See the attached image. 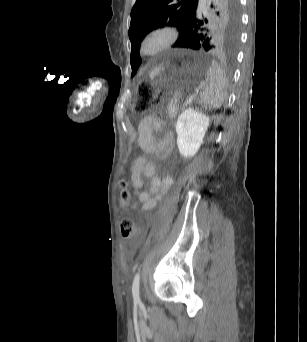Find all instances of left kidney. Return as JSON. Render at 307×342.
<instances>
[{"label":"left kidney","mask_w":307,"mask_h":342,"mask_svg":"<svg viewBox=\"0 0 307 342\" xmlns=\"http://www.w3.org/2000/svg\"><path fill=\"white\" fill-rule=\"evenodd\" d=\"M208 126V116L193 108H187L178 116L175 126L177 146L183 158H193L197 154Z\"/></svg>","instance_id":"1"}]
</instances>
